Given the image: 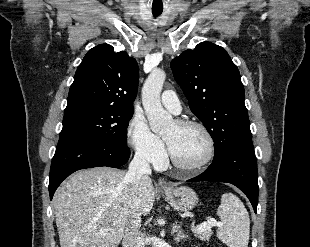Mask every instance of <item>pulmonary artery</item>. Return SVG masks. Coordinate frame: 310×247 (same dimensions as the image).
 Wrapping results in <instances>:
<instances>
[{"mask_svg":"<svg viewBox=\"0 0 310 247\" xmlns=\"http://www.w3.org/2000/svg\"><path fill=\"white\" fill-rule=\"evenodd\" d=\"M163 106L174 114L181 111V104L178 96L172 90H165L161 95Z\"/></svg>","mask_w":310,"mask_h":247,"instance_id":"pulmonary-artery-1","label":"pulmonary artery"}]
</instances>
